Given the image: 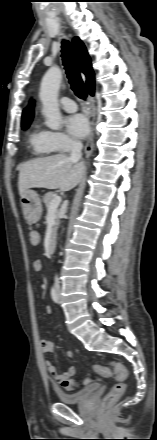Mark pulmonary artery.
I'll use <instances>...</instances> for the list:
<instances>
[{
	"mask_svg": "<svg viewBox=\"0 0 157 440\" xmlns=\"http://www.w3.org/2000/svg\"><path fill=\"white\" fill-rule=\"evenodd\" d=\"M60 105L67 112H75L77 110L76 103L69 98H62L60 100Z\"/></svg>",
	"mask_w": 157,
	"mask_h": 440,
	"instance_id": "pulmonary-artery-1",
	"label": "pulmonary artery"
}]
</instances>
